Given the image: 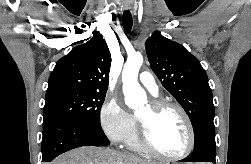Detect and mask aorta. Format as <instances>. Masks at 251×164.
<instances>
[{
    "label": "aorta",
    "instance_id": "aorta-1",
    "mask_svg": "<svg viewBox=\"0 0 251 164\" xmlns=\"http://www.w3.org/2000/svg\"><path fill=\"white\" fill-rule=\"evenodd\" d=\"M142 63L143 56L140 53H134L128 56L122 72L125 103L132 109L142 106L147 100L145 91L138 83V73Z\"/></svg>",
    "mask_w": 251,
    "mask_h": 164
}]
</instances>
